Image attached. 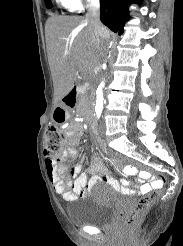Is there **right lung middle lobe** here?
<instances>
[{
  "instance_id": "1",
  "label": "right lung middle lobe",
  "mask_w": 183,
  "mask_h": 246,
  "mask_svg": "<svg viewBox=\"0 0 183 246\" xmlns=\"http://www.w3.org/2000/svg\"><path fill=\"white\" fill-rule=\"evenodd\" d=\"M44 2L48 8H52L51 0H44Z\"/></svg>"
}]
</instances>
